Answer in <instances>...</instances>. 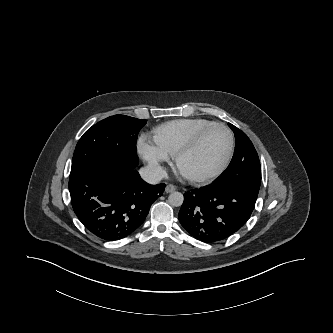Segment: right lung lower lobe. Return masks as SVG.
Segmentation results:
<instances>
[{"label": "right lung lower lobe", "mask_w": 333, "mask_h": 333, "mask_svg": "<svg viewBox=\"0 0 333 333\" xmlns=\"http://www.w3.org/2000/svg\"><path fill=\"white\" fill-rule=\"evenodd\" d=\"M165 184L150 185L138 172L90 169L69 179L71 203L85 228L105 241L131 235L145 221Z\"/></svg>", "instance_id": "1"}]
</instances>
